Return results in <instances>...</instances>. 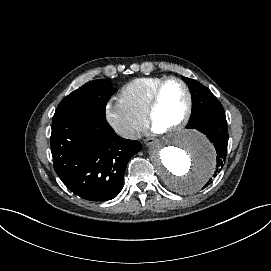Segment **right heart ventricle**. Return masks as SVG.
<instances>
[{
    "mask_svg": "<svg viewBox=\"0 0 271 271\" xmlns=\"http://www.w3.org/2000/svg\"><path fill=\"white\" fill-rule=\"evenodd\" d=\"M165 76H145L131 80L124 85L120 96L135 113L147 117L152 92Z\"/></svg>",
    "mask_w": 271,
    "mask_h": 271,
    "instance_id": "right-heart-ventricle-1",
    "label": "right heart ventricle"
}]
</instances>
